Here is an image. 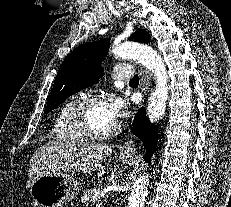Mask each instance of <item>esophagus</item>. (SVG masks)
<instances>
[{"instance_id": "1", "label": "esophagus", "mask_w": 231, "mask_h": 207, "mask_svg": "<svg viewBox=\"0 0 231 207\" xmlns=\"http://www.w3.org/2000/svg\"><path fill=\"white\" fill-rule=\"evenodd\" d=\"M120 151L127 154H134L137 151L133 136L126 139L124 144L120 146Z\"/></svg>"}]
</instances>
